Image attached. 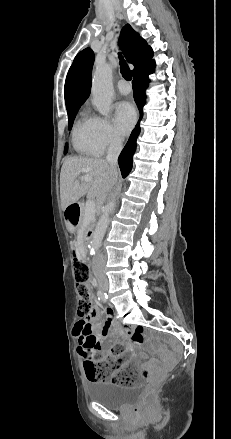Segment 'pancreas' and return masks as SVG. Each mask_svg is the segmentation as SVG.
Returning a JSON list of instances; mask_svg holds the SVG:
<instances>
[{
  "mask_svg": "<svg viewBox=\"0 0 231 439\" xmlns=\"http://www.w3.org/2000/svg\"><path fill=\"white\" fill-rule=\"evenodd\" d=\"M81 212H82V214H81L80 224H81V225H84V224L86 223V205H85L84 203L81 204ZM94 220H95V216H93V217L91 218V220L89 221V223H90V222H93Z\"/></svg>",
  "mask_w": 231,
  "mask_h": 439,
  "instance_id": "1",
  "label": "pancreas"
}]
</instances>
